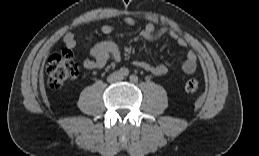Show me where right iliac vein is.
Returning a JSON list of instances; mask_svg holds the SVG:
<instances>
[{"label": "right iliac vein", "instance_id": "right-iliac-vein-1", "mask_svg": "<svg viewBox=\"0 0 259 156\" xmlns=\"http://www.w3.org/2000/svg\"><path fill=\"white\" fill-rule=\"evenodd\" d=\"M116 77H117V75L115 74V75L112 76V79H115Z\"/></svg>", "mask_w": 259, "mask_h": 156}]
</instances>
